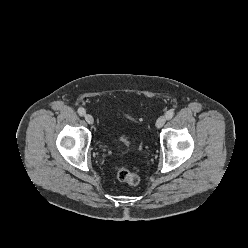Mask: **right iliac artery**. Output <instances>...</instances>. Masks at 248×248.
<instances>
[{"mask_svg":"<svg viewBox=\"0 0 248 248\" xmlns=\"http://www.w3.org/2000/svg\"><path fill=\"white\" fill-rule=\"evenodd\" d=\"M85 113H86V111H85L84 108L80 107V108L78 109V114H79L80 116H84Z\"/></svg>","mask_w":248,"mask_h":248,"instance_id":"right-iliac-artery-1","label":"right iliac artery"}]
</instances>
